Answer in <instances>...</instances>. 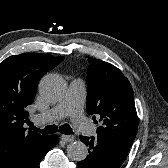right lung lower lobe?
I'll return each mask as SVG.
<instances>
[{"label":"right lung lower lobe","mask_w":168,"mask_h":168,"mask_svg":"<svg viewBox=\"0 0 168 168\" xmlns=\"http://www.w3.org/2000/svg\"><path fill=\"white\" fill-rule=\"evenodd\" d=\"M58 140L59 138L57 135H51L44 146L29 156L18 168H39L41 160L51 148L56 146Z\"/></svg>","instance_id":"right-lung-lower-lobe-1"}]
</instances>
